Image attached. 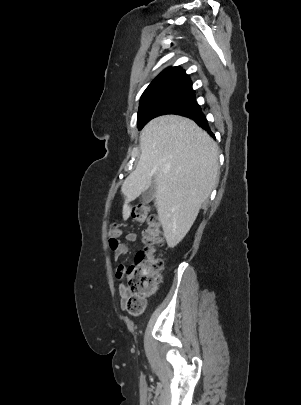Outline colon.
Returning <instances> with one entry per match:
<instances>
[{"mask_svg":"<svg viewBox=\"0 0 301 405\" xmlns=\"http://www.w3.org/2000/svg\"><path fill=\"white\" fill-rule=\"evenodd\" d=\"M131 217L137 222H147L142 234L145 247L136 254L134 263L128 269L126 296L122 302L129 314L137 316L143 310L146 298L156 291L160 283L163 260L158 247L163 243V231L159 217L151 213L147 204L134 206ZM120 235L121 229L113 224L109 239L111 249L116 246Z\"/></svg>","mask_w":301,"mask_h":405,"instance_id":"5ec220e1","label":"colon"}]
</instances>
